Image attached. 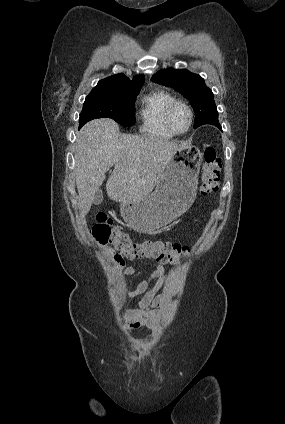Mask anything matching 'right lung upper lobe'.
Masks as SVG:
<instances>
[{"mask_svg": "<svg viewBox=\"0 0 285 424\" xmlns=\"http://www.w3.org/2000/svg\"><path fill=\"white\" fill-rule=\"evenodd\" d=\"M144 83V76L139 75L132 81L124 74H116L98 82L92 90H104V89H115V88H129V87H140Z\"/></svg>", "mask_w": 285, "mask_h": 424, "instance_id": "obj_1", "label": "right lung upper lobe"}]
</instances>
